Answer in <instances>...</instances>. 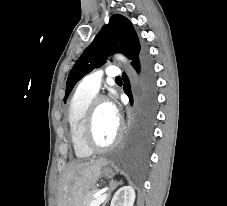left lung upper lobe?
Instances as JSON below:
<instances>
[{
    "label": "left lung upper lobe",
    "mask_w": 227,
    "mask_h": 206,
    "mask_svg": "<svg viewBox=\"0 0 227 206\" xmlns=\"http://www.w3.org/2000/svg\"><path fill=\"white\" fill-rule=\"evenodd\" d=\"M121 52L132 63L142 54L137 34L132 23L124 16L113 15L108 25L103 26L90 46L82 53L71 69L64 102L75 84L94 68L100 67L110 53Z\"/></svg>",
    "instance_id": "1"
}]
</instances>
